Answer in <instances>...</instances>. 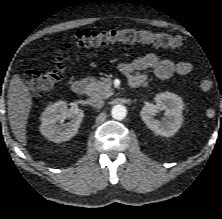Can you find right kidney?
<instances>
[{"mask_svg": "<svg viewBox=\"0 0 222 219\" xmlns=\"http://www.w3.org/2000/svg\"><path fill=\"white\" fill-rule=\"evenodd\" d=\"M83 117V110L77 107L68 109L65 101H58L46 107L42 113L40 132L55 143L68 141L77 133ZM66 118L71 120L63 124Z\"/></svg>", "mask_w": 222, "mask_h": 219, "instance_id": "right-kidney-1", "label": "right kidney"}]
</instances>
